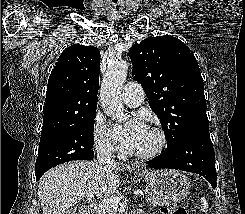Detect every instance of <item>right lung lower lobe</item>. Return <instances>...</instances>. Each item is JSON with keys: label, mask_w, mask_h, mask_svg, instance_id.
I'll return each mask as SVG.
<instances>
[{"label": "right lung lower lobe", "mask_w": 245, "mask_h": 214, "mask_svg": "<svg viewBox=\"0 0 245 214\" xmlns=\"http://www.w3.org/2000/svg\"><path fill=\"white\" fill-rule=\"evenodd\" d=\"M93 156H94V155H93ZM92 159H93V158H92ZM43 174H44V173H37V174H36V180H39Z\"/></svg>", "instance_id": "right-lung-lower-lobe-1"}]
</instances>
